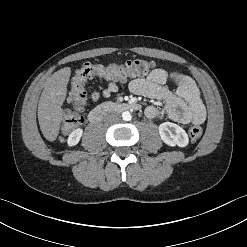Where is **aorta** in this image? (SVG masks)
Here are the masks:
<instances>
[{
	"instance_id": "762f6f07",
	"label": "aorta",
	"mask_w": 247,
	"mask_h": 247,
	"mask_svg": "<svg viewBox=\"0 0 247 247\" xmlns=\"http://www.w3.org/2000/svg\"><path fill=\"white\" fill-rule=\"evenodd\" d=\"M131 118H132V116H131L129 111H125V112L122 113V119L124 121H130Z\"/></svg>"
}]
</instances>
